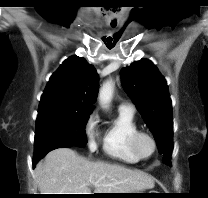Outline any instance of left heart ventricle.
<instances>
[{
    "label": "left heart ventricle",
    "mask_w": 208,
    "mask_h": 198,
    "mask_svg": "<svg viewBox=\"0 0 208 198\" xmlns=\"http://www.w3.org/2000/svg\"><path fill=\"white\" fill-rule=\"evenodd\" d=\"M140 149L144 154H146V155L150 154L152 151V144H151L150 140L147 138H143L140 141Z\"/></svg>",
    "instance_id": "left-heart-ventricle-1"
}]
</instances>
